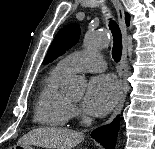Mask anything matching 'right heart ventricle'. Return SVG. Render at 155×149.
<instances>
[{"instance_id":"1","label":"right heart ventricle","mask_w":155,"mask_h":149,"mask_svg":"<svg viewBox=\"0 0 155 149\" xmlns=\"http://www.w3.org/2000/svg\"><path fill=\"white\" fill-rule=\"evenodd\" d=\"M66 75L57 65L45 77L34 112L37 123L49 127H63L68 124L72 117V105L59 91V83Z\"/></svg>"}]
</instances>
